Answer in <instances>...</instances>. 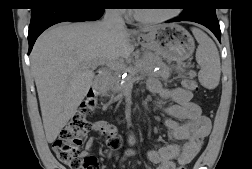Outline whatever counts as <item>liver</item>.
I'll use <instances>...</instances> for the list:
<instances>
[{
  "mask_svg": "<svg viewBox=\"0 0 252 169\" xmlns=\"http://www.w3.org/2000/svg\"><path fill=\"white\" fill-rule=\"evenodd\" d=\"M156 27H143L149 32ZM138 31L113 30L103 21L61 23L36 40L31 68L38 92L46 139L53 143L75 115L94 79L99 62L128 59Z\"/></svg>",
  "mask_w": 252,
  "mask_h": 169,
  "instance_id": "1",
  "label": "liver"
}]
</instances>
